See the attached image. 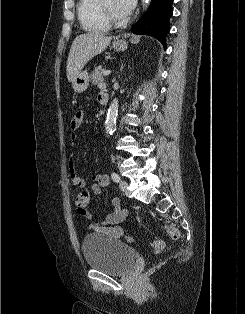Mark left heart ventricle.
<instances>
[{
    "label": "left heart ventricle",
    "mask_w": 245,
    "mask_h": 314,
    "mask_svg": "<svg viewBox=\"0 0 245 314\" xmlns=\"http://www.w3.org/2000/svg\"><path fill=\"white\" fill-rule=\"evenodd\" d=\"M102 4L105 10L116 18H123L126 16L124 12L118 9L116 0H103Z\"/></svg>",
    "instance_id": "1"
}]
</instances>
